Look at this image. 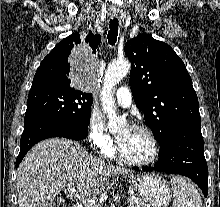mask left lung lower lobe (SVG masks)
Instances as JSON below:
<instances>
[{"label": "left lung lower lobe", "mask_w": 220, "mask_h": 207, "mask_svg": "<svg viewBox=\"0 0 220 207\" xmlns=\"http://www.w3.org/2000/svg\"><path fill=\"white\" fill-rule=\"evenodd\" d=\"M159 152L157 164L154 167L143 168V171L156 170L189 177L207 197L208 167L204 156L200 121L178 126L160 143ZM135 170L139 171L138 168Z\"/></svg>", "instance_id": "1"}]
</instances>
